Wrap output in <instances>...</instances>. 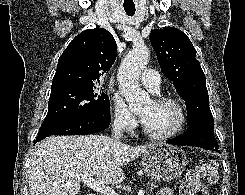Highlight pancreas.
I'll use <instances>...</instances> for the list:
<instances>
[{
	"instance_id": "obj_1",
	"label": "pancreas",
	"mask_w": 245,
	"mask_h": 195,
	"mask_svg": "<svg viewBox=\"0 0 245 195\" xmlns=\"http://www.w3.org/2000/svg\"><path fill=\"white\" fill-rule=\"evenodd\" d=\"M158 187V185L156 183H149L148 184V190H150V192H152L154 189H156Z\"/></svg>"
}]
</instances>
